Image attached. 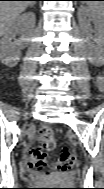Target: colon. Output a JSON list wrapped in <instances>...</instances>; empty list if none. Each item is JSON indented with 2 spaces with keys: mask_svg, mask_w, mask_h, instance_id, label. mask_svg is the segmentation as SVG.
I'll use <instances>...</instances> for the list:
<instances>
[{
  "mask_svg": "<svg viewBox=\"0 0 104 189\" xmlns=\"http://www.w3.org/2000/svg\"><path fill=\"white\" fill-rule=\"evenodd\" d=\"M55 146L53 131L49 126H42L39 129L38 144L29 149V168L34 172H42L46 175L52 172H69L77 161L72 150H63L58 161L54 164L47 162L46 153L54 150Z\"/></svg>",
  "mask_w": 104,
  "mask_h": 189,
  "instance_id": "obj_1",
  "label": "colon"
}]
</instances>
